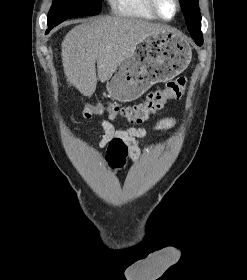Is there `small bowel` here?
<instances>
[{
    "mask_svg": "<svg viewBox=\"0 0 247 280\" xmlns=\"http://www.w3.org/2000/svg\"><path fill=\"white\" fill-rule=\"evenodd\" d=\"M176 121L173 118H164L158 122L157 130H168L175 125ZM104 131V135L98 142V146L101 148L106 147L111 141L118 139L124 143L127 147V151L130 159L135 162L140 155V149L137 146L136 139L146 136V130L144 128L129 127L125 129L116 128L111 122L104 120L101 123Z\"/></svg>",
    "mask_w": 247,
    "mask_h": 280,
    "instance_id": "1",
    "label": "small bowel"
}]
</instances>
